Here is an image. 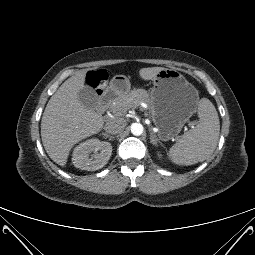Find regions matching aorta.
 Here are the masks:
<instances>
[{
    "mask_svg": "<svg viewBox=\"0 0 255 255\" xmlns=\"http://www.w3.org/2000/svg\"><path fill=\"white\" fill-rule=\"evenodd\" d=\"M143 131H144V128H143L142 124H140V123H133L131 125V133L133 135L140 136V135H142Z\"/></svg>",
    "mask_w": 255,
    "mask_h": 255,
    "instance_id": "762f6f07",
    "label": "aorta"
}]
</instances>
